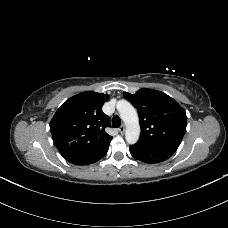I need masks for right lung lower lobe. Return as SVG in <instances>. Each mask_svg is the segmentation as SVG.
Here are the masks:
<instances>
[{
  "label": "right lung lower lobe",
  "instance_id": "98d812e1",
  "mask_svg": "<svg viewBox=\"0 0 228 228\" xmlns=\"http://www.w3.org/2000/svg\"><path fill=\"white\" fill-rule=\"evenodd\" d=\"M109 144H106L102 146L101 148H98L92 152L80 155V156H75L66 159L68 162L76 165H88L97 162L100 160L102 157L105 156V154L108 151Z\"/></svg>",
  "mask_w": 228,
  "mask_h": 228
}]
</instances>
